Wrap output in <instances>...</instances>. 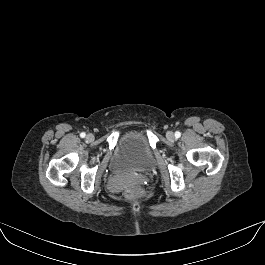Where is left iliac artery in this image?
<instances>
[{"label":"left iliac artery","mask_w":265,"mask_h":265,"mask_svg":"<svg viewBox=\"0 0 265 265\" xmlns=\"http://www.w3.org/2000/svg\"><path fill=\"white\" fill-rule=\"evenodd\" d=\"M180 136H181V133H180L179 131H176V132H175V137H176V138H179Z\"/></svg>","instance_id":"1"}]
</instances>
